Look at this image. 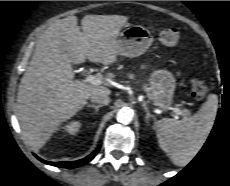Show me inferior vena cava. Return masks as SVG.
<instances>
[{
    "label": "inferior vena cava",
    "mask_w": 230,
    "mask_h": 186,
    "mask_svg": "<svg viewBox=\"0 0 230 186\" xmlns=\"http://www.w3.org/2000/svg\"><path fill=\"white\" fill-rule=\"evenodd\" d=\"M90 100L92 103H98L101 105H108L110 103L109 96L106 94H102V93H93L90 96Z\"/></svg>",
    "instance_id": "602c4592"
}]
</instances>
